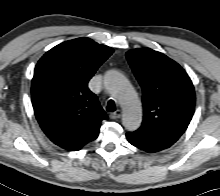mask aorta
Instances as JSON below:
<instances>
[{
    "instance_id": "aorta-1",
    "label": "aorta",
    "mask_w": 220,
    "mask_h": 196,
    "mask_svg": "<svg viewBox=\"0 0 220 196\" xmlns=\"http://www.w3.org/2000/svg\"><path fill=\"white\" fill-rule=\"evenodd\" d=\"M105 84L122 106L124 127L130 131L136 130L142 121L141 104L127 78L117 71H111L106 76Z\"/></svg>"
}]
</instances>
